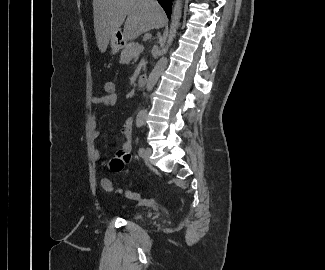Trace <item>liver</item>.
Masks as SVG:
<instances>
[{"mask_svg":"<svg viewBox=\"0 0 325 270\" xmlns=\"http://www.w3.org/2000/svg\"><path fill=\"white\" fill-rule=\"evenodd\" d=\"M94 31L101 53L124 23V36L134 39L165 23L161 7L154 0H93ZM127 17V18H126Z\"/></svg>","mask_w":325,"mask_h":270,"instance_id":"6515ba94","label":"liver"}]
</instances>
